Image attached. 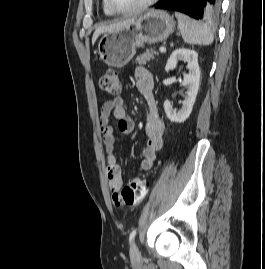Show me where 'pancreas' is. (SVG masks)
Returning a JSON list of instances; mask_svg holds the SVG:
<instances>
[{
    "label": "pancreas",
    "mask_w": 265,
    "mask_h": 269,
    "mask_svg": "<svg viewBox=\"0 0 265 269\" xmlns=\"http://www.w3.org/2000/svg\"><path fill=\"white\" fill-rule=\"evenodd\" d=\"M157 54L158 53L155 52L153 49L147 50L146 52L137 57L136 62L139 63V65H145L147 62L154 59V55Z\"/></svg>",
    "instance_id": "pancreas-1"
}]
</instances>
